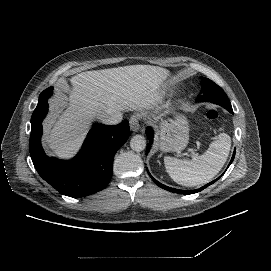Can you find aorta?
<instances>
[{
  "label": "aorta",
  "instance_id": "obj_1",
  "mask_svg": "<svg viewBox=\"0 0 271 271\" xmlns=\"http://www.w3.org/2000/svg\"><path fill=\"white\" fill-rule=\"evenodd\" d=\"M130 147L135 152H141L146 149V140L141 135L134 136L130 141Z\"/></svg>",
  "mask_w": 271,
  "mask_h": 271
}]
</instances>
